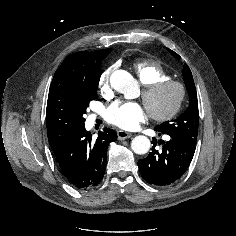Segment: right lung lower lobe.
Listing matches in <instances>:
<instances>
[{"instance_id": "obj_1", "label": "right lung lower lobe", "mask_w": 236, "mask_h": 236, "mask_svg": "<svg viewBox=\"0 0 236 236\" xmlns=\"http://www.w3.org/2000/svg\"><path fill=\"white\" fill-rule=\"evenodd\" d=\"M116 140V132L109 128L99 132L95 141L85 130V125L77 128L63 149L55 155L68 182L83 190L97 186L105 172L108 146Z\"/></svg>"}]
</instances>
